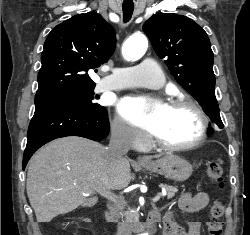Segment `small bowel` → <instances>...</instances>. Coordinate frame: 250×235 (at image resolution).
I'll return each instance as SVG.
<instances>
[{
  "label": "small bowel",
  "mask_w": 250,
  "mask_h": 235,
  "mask_svg": "<svg viewBox=\"0 0 250 235\" xmlns=\"http://www.w3.org/2000/svg\"><path fill=\"white\" fill-rule=\"evenodd\" d=\"M209 204V196L205 192L197 194L185 193L180 199V207L188 213H195ZM163 235H201V225L199 222L191 221L188 227L176 225L170 214L166 215L163 221Z\"/></svg>",
  "instance_id": "c3829d8e"
}]
</instances>
